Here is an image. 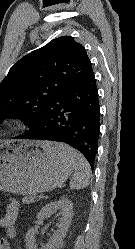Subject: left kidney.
Listing matches in <instances>:
<instances>
[{
  "instance_id": "left-kidney-1",
  "label": "left kidney",
  "mask_w": 135,
  "mask_h": 249,
  "mask_svg": "<svg viewBox=\"0 0 135 249\" xmlns=\"http://www.w3.org/2000/svg\"><path fill=\"white\" fill-rule=\"evenodd\" d=\"M61 213L60 222L57 224V230L49 241L42 245L40 249H58L63 238L69 228V223L73 216V203L68 198H61L57 201L46 204L37 214V223L42 222L43 219L54 212ZM26 249H38L35 243L34 230H28L26 234Z\"/></svg>"
}]
</instances>
